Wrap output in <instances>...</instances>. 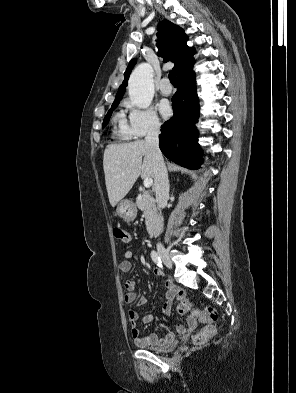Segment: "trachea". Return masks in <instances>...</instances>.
Segmentation results:
<instances>
[{"label": "trachea", "instance_id": "trachea-1", "mask_svg": "<svg viewBox=\"0 0 296 393\" xmlns=\"http://www.w3.org/2000/svg\"><path fill=\"white\" fill-rule=\"evenodd\" d=\"M169 80L172 84H177V77L175 71H170L169 73Z\"/></svg>", "mask_w": 296, "mask_h": 393}]
</instances>
